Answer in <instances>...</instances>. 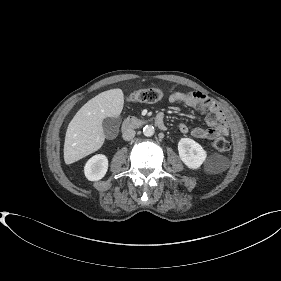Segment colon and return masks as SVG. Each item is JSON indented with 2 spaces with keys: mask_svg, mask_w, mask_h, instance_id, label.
Wrapping results in <instances>:
<instances>
[{
  "mask_svg": "<svg viewBox=\"0 0 281 281\" xmlns=\"http://www.w3.org/2000/svg\"><path fill=\"white\" fill-rule=\"evenodd\" d=\"M162 96V91L157 88L141 89L132 92L128 96V101L152 103L160 100ZM211 145L214 150L220 152L227 151L230 148V143L225 138H216L212 141Z\"/></svg>",
  "mask_w": 281,
  "mask_h": 281,
  "instance_id": "obj_1",
  "label": "colon"
}]
</instances>
